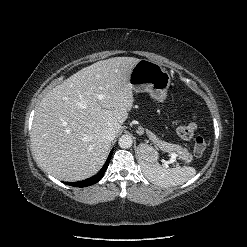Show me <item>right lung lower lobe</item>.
<instances>
[{
	"label": "right lung lower lobe",
	"instance_id": "98d812e1",
	"mask_svg": "<svg viewBox=\"0 0 247 247\" xmlns=\"http://www.w3.org/2000/svg\"><path fill=\"white\" fill-rule=\"evenodd\" d=\"M112 153H113V150L110 152L104 166L102 167V169L99 171V173L97 175L90 177V178L83 180V181L65 182V184L70 185V186H74V187H86V186H90V185L97 183L103 177L105 171L107 170L111 156H112Z\"/></svg>",
	"mask_w": 247,
	"mask_h": 247
}]
</instances>
